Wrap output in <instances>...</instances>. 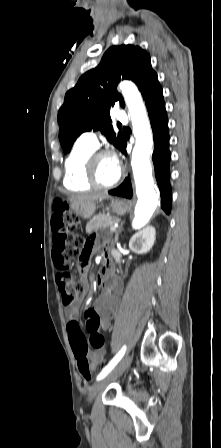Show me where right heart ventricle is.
Wrapping results in <instances>:
<instances>
[{"instance_id":"obj_1","label":"right heart ventricle","mask_w":221,"mask_h":448,"mask_svg":"<svg viewBox=\"0 0 221 448\" xmlns=\"http://www.w3.org/2000/svg\"><path fill=\"white\" fill-rule=\"evenodd\" d=\"M95 148L77 142L68 154L64 165L63 184L67 189L80 191L89 190L93 186L85 177V161Z\"/></svg>"}]
</instances>
